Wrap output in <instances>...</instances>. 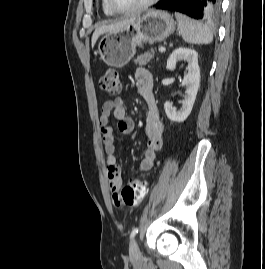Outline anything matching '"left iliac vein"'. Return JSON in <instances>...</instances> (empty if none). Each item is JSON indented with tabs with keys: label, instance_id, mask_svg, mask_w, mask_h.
I'll return each mask as SVG.
<instances>
[{
	"label": "left iliac vein",
	"instance_id": "left-iliac-vein-1",
	"mask_svg": "<svg viewBox=\"0 0 265 269\" xmlns=\"http://www.w3.org/2000/svg\"><path fill=\"white\" fill-rule=\"evenodd\" d=\"M129 255L133 261H137L141 257V253L135 239H132L130 242Z\"/></svg>",
	"mask_w": 265,
	"mask_h": 269
}]
</instances>
